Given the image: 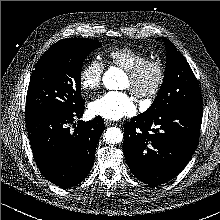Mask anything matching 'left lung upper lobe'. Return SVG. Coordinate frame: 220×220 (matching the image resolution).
<instances>
[{
    "mask_svg": "<svg viewBox=\"0 0 220 220\" xmlns=\"http://www.w3.org/2000/svg\"><path fill=\"white\" fill-rule=\"evenodd\" d=\"M163 41L167 51L164 81L153 104L144 113L153 115L172 108L202 106L201 91L189 64L170 40Z\"/></svg>",
    "mask_w": 220,
    "mask_h": 220,
    "instance_id": "left-lung-upper-lobe-1",
    "label": "left lung upper lobe"
}]
</instances>
